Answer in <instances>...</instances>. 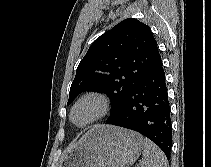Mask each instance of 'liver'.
Wrapping results in <instances>:
<instances>
[{"mask_svg":"<svg viewBox=\"0 0 211 167\" xmlns=\"http://www.w3.org/2000/svg\"><path fill=\"white\" fill-rule=\"evenodd\" d=\"M72 147H73V145H71V146L68 148V150H70Z\"/></svg>","mask_w":211,"mask_h":167,"instance_id":"1","label":"liver"}]
</instances>
